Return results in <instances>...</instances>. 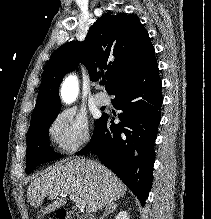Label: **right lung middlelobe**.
Segmentation results:
<instances>
[{"label": "right lung middle lobe", "mask_w": 211, "mask_h": 219, "mask_svg": "<svg viewBox=\"0 0 211 219\" xmlns=\"http://www.w3.org/2000/svg\"><path fill=\"white\" fill-rule=\"evenodd\" d=\"M60 109L31 118L27 133L26 173L39 164L60 158L62 155L50 148L48 132ZM97 122V121H96Z\"/></svg>", "instance_id": "dd1d6c3e"}]
</instances>
